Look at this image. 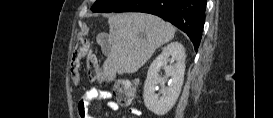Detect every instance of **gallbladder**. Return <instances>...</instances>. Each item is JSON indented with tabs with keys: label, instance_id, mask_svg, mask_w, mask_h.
Listing matches in <instances>:
<instances>
[{
	"label": "gallbladder",
	"instance_id": "1",
	"mask_svg": "<svg viewBox=\"0 0 273 118\" xmlns=\"http://www.w3.org/2000/svg\"><path fill=\"white\" fill-rule=\"evenodd\" d=\"M102 51L105 55H108L110 52V45L108 44V42H106L103 46H102Z\"/></svg>",
	"mask_w": 273,
	"mask_h": 118
}]
</instances>
